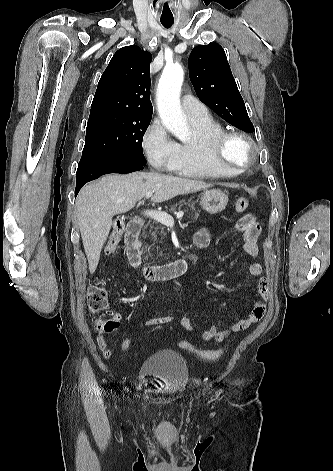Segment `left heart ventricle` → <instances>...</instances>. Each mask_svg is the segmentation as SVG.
Here are the masks:
<instances>
[{"mask_svg":"<svg viewBox=\"0 0 333 471\" xmlns=\"http://www.w3.org/2000/svg\"><path fill=\"white\" fill-rule=\"evenodd\" d=\"M227 157L234 162H242L245 158V150L239 143H231L227 150Z\"/></svg>","mask_w":333,"mask_h":471,"instance_id":"b2bd125f","label":"left heart ventricle"}]
</instances>
